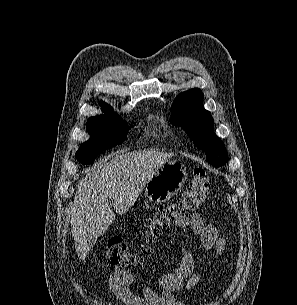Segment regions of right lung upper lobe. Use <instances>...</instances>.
Returning a JSON list of instances; mask_svg holds the SVG:
<instances>
[{"label": "right lung upper lobe", "instance_id": "right-lung-upper-lobe-1", "mask_svg": "<svg viewBox=\"0 0 297 305\" xmlns=\"http://www.w3.org/2000/svg\"><path fill=\"white\" fill-rule=\"evenodd\" d=\"M102 107L105 112L112 110V108L106 105L105 103H102Z\"/></svg>", "mask_w": 297, "mask_h": 305}]
</instances>
